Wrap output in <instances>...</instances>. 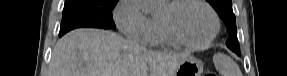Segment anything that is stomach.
Instances as JSON below:
<instances>
[{"label":"stomach","instance_id":"stomach-1","mask_svg":"<svg viewBox=\"0 0 287 76\" xmlns=\"http://www.w3.org/2000/svg\"><path fill=\"white\" fill-rule=\"evenodd\" d=\"M203 64L195 57H186L178 66L174 76H201Z\"/></svg>","mask_w":287,"mask_h":76}]
</instances>
